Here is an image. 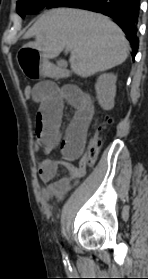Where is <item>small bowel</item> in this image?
<instances>
[{
    "mask_svg": "<svg viewBox=\"0 0 148 279\" xmlns=\"http://www.w3.org/2000/svg\"><path fill=\"white\" fill-rule=\"evenodd\" d=\"M31 99L37 104L35 122V150L43 149L50 154L60 146L62 160H43L38 169L40 182L44 185L45 197L63 198L85 175V168L73 165L82 154L87 130L93 117V102L89 94L73 85L59 86L50 81L33 86ZM75 108V113L65 133L61 127L64 115V102ZM63 168L67 175L56 178Z\"/></svg>",
    "mask_w": 148,
    "mask_h": 279,
    "instance_id": "small-bowel-1",
    "label": "small bowel"
}]
</instances>
